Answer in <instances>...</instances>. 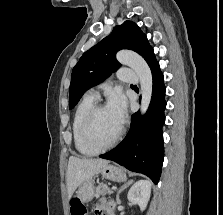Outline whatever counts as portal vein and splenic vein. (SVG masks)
Returning <instances> with one entry per match:
<instances>
[{
  "label": "portal vein and splenic vein",
  "instance_id": "18ae733b",
  "mask_svg": "<svg viewBox=\"0 0 223 215\" xmlns=\"http://www.w3.org/2000/svg\"><path fill=\"white\" fill-rule=\"evenodd\" d=\"M118 188H120V187H118V186H116V185L110 186V189H112V190H116V189H118Z\"/></svg>",
  "mask_w": 223,
  "mask_h": 215
}]
</instances>
